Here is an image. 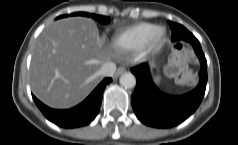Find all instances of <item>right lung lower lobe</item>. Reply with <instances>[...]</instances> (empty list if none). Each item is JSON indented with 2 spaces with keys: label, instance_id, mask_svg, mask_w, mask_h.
I'll use <instances>...</instances> for the list:
<instances>
[{
  "label": "right lung lower lobe",
  "instance_id": "1",
  "mask_svg": "<svg viewBox=\"0 0 238 145\" xmlns=\"http://www.w3.org/2000/svg\"><path fill=\"white\" fill-rule=\"evenodd\" d=\"M111 81V78H105L81 104L71 109H51L34 95L32 97L37 107L49 121L63 128H77L90 124L97 116L103 91Z\"/></svg>",
  "mask_w": 238,
  "mask_h": 145
}]
</instances>
